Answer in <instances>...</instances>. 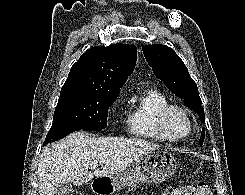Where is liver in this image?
Segmentation results:
<instances>
[{"mask_svg": "<svg viewBox=\"0 0 245 195\" xmlns=\"http://www.w3.org/2000/svg\"><path fill=\"white\" fill-rule=\"evenodd\" d=\"M159 145L135 138H98L78 131L68 135L51 148H45L38 164L39 195H54L61 183L76 186L89 182L94 176L112 177L133 164ZM101 165L92 173V165Z\"/></svg>", "mask_w": 245, "mask_h": 195, "instance_id": "6515ba94", "label": "liver"}]
</instances>
